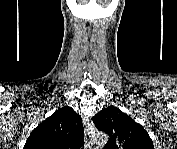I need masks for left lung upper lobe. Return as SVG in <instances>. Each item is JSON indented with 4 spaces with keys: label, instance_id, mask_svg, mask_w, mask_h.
<instances>
[{
    "label": "left lung upper lobe",
    "instance_id": "5c2ea615",
    "mask_svg": "<svg viewBox=\"0 0 177 149\" xmlns=\"http://www.w3.org/2000/svg\"><path fill=\"white\" fill-rule=\"evenodd\" d=\"M98 130L109 135L105 149H154L153 142L142 125L119 108L109 106L93 117Z\"/></svg>",
    "mask_w": 177,
    "mask_h": 149
}]
</instances>
